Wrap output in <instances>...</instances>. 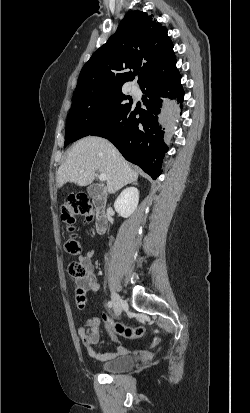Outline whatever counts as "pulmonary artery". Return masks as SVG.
I'll list each match as a JSON object with an SVG mask.
<instances>
[{"label": "pulmonary artery", "instance_id": "1", "mask_svg": "<svg viewBox=\"0 0 250 413\" xmlns=\"http://www.w3.org/2000/svg\"><path fill=\"white\" fill-rule=\"evenodd\" d=\"M130 90H131V92H133V93H136V92L138 91L137 87L134 86V85L131 86Z\"/></svg>", "mask_w": 250, "mask_h": 413}]
</instances>
